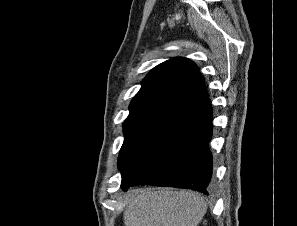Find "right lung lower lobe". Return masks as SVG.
<instances>
[{
  "mask_svg": "<svg viewBox=\"0 0 297 226\" xmlns=\"http://www.w3.org/2000/svg\"><path fill=\"white\" fill-rule=\"evenodd\" d=\"M212 107L207 98L170 118L136 165L123 177L121 188L169 186L209 194L212 177Z\"/></svg>",
  "mask_w": 297,
  "mask_h": 226,
  "instance_id": "98d812e1",
  "label": "right lung lower lobe"
}]
</instances>
